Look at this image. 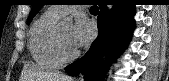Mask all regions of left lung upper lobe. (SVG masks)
<instances>
[{
    "mask_svg": "<svg viewBox=\"0 0 169 81\" xmlns=\"http://www.w3.org/2000/svg\"><path fill=\"white\" fill-rule=\"evenodd\" d=\"M33 7L31 9L30 15H29V19H28V23L31 22L32 18L35 16V14L39 11V9L44 5V0H33Z\"/></svg>",
    "mask_w": 169,
    "mask_h": 81,
    "instance_id": "obj_1",
    "label": "left lung upper lobe"
}]
</instances>
